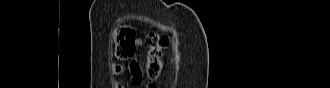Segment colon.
<instances>
[{"label": "colon", "mask_w": 330, "mask_h": 88, "mask_svg": "<svg viewBox=\"0 0 330 88\" xmlns=\"http://www.w3.org/2000/svg\"><path fill=\"white\" fill-rule=\"evenodd\" d=\"M135 39V33L131 28L118 29L114 35L116 55L121 59L132 58L136 50ZM167 44L168 38L163 34L153 32L146 37L147 51L144 71L148 79L157 80L160 78L163 68V50Z\"/></svg>", "instance_id": "colon-1"}]
</instances>
